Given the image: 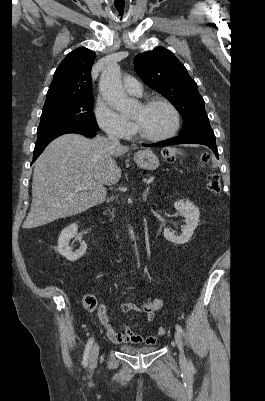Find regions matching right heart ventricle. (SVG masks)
I'll return each instance as SVG.
<instances>
[{"label":"right heart ventricle","instance_id":"e07e8e85","mask_svg":"<svg viewBox=\"0 0 265 401\" xmlns=\"http://www.w3.org/2000/svg\"><path fill=\"white\" fill-rule=\"evenodd\" d=\"M128 138V137H127ZM127 138H117V139H127Z\"/></svg>","mask_w":265,"mask_h":401}]
</instances>
